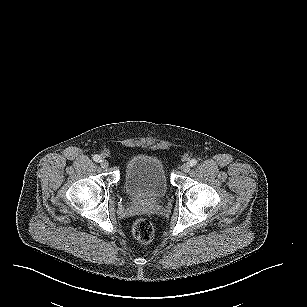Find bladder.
Returning a JSON list of instances; mask_svg holds the SVG:
<instances>
[{
	"instance_id": "obj_1",
	"label": "bladder",
	"mask_w": 307,
	"mask_h": 307,
	"mask_svg": "<svg viewBox=\"0 0 307 307\" xmlns=\"http://www.w3.org/2000/svg\"><path fill=\"white\" fill-rule=\"evenodd\" d=\"M124 186L137 197L162 198L168 190L160 158L140 154L125 166Z\"/></svg>"
}]
</instances>
